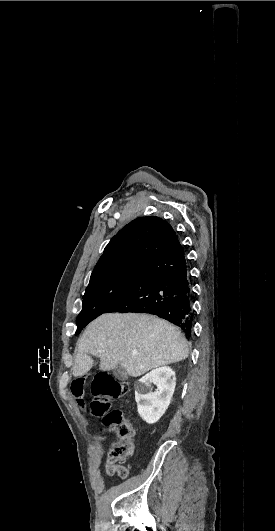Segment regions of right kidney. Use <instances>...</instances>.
Here are the masks:
<instances>
[{
    "mask_svg": "<svg viewBox=\"0 0 275 531\" xmlns=\"http://www.w3.org/2000/svg\"><path fill=\"white\" fill-rule=\"evenodd\" d=\"M151 383L156 385V393H151ZM175 387L176 377L171 367L153 369L136 381L134 389L137 411L145 423L153 425L159 421L170 405Z\"/></svg>",
    "mask_w": 275,
    "mask_h": 531,
    "instance_id": "1",
    "label": "right kidney"
}]
</instances>
